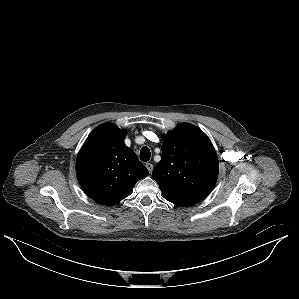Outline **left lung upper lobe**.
<instances>
[{"label": "left lung upper lobe", "mask_w": 299, "mask_h": 299, "mask_svg": "<svg viewBox=\"0 0 299 299\" xmlns=\"http://www.w3.org/2000/svg\"><path fill=\"white\" fill-rule=\"evenodd\" d=\"M218 171V158L209 138L198 127L183 123L163 136L162 158L152 176L166 200L176 206H190L209 195Z\"/></svg>", "instance_id": "1"}]
</instances>
